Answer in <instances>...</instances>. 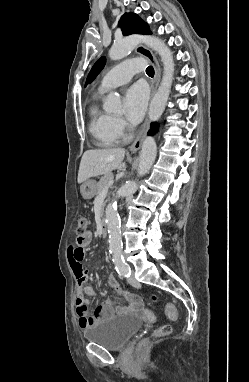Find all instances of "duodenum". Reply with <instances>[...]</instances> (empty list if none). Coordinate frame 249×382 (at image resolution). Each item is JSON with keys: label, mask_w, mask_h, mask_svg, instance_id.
Here are the masks:
<instances>
[{"label": "duodenum", "mask_w": 249, "mask_h": 382, "mask_svg": "<svg viewBox=\"0 0 249 382\" xmlns=\"http://www.w3.org/2000/svg\"><path fill=\"white\" fill-rule=\"evenodd\" d=\"M99 228H100V232H101V234L103 236H107L108 235V225H107V221H106L105 217H103L100 220Z\"/></svg>", "instance_id": "410a0bca"}]
</instances>
